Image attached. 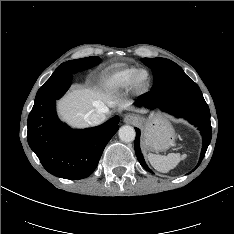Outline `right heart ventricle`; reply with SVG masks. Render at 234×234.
I'll use <instances>...</instances> for the list:
<instances>
[{"label": "right heart ventricle", "instance_id": "right-heart-ventricle-1", "mask_svg": "<svg viewBox=\"0 0 234 234\" xmlns=\"http://www.w3.org/2000/svg\"><path fill=\"white\" fill-rule=\"evenodd\" d=\"M138 70L135 66H117L105 72L102 82L105 89L118 91L129 87L131 79Z\"/></svg>", "mask_w": 234, "mask_h": 234}]
</instances>
